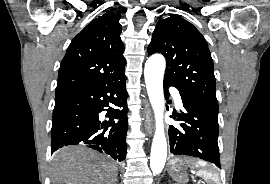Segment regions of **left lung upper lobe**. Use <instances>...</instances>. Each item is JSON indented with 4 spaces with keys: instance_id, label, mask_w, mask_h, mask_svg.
<instances>
[{
    "instance_id": "5c2ea615",
    "label": "left lung upper lobe",
    "mask_w": 270,
    "mask_h": 184,
    "mask_svg": "<svg viewBox=\"0 0 270 184\" xmlns=\"http://www.w3.org/2000/svg\"><path fill=\"white\" fill-rule=\"evenodd\" d=\"M148 53L166 58L164 78L218 112L213 60L203 35L181 16L159 20Z\"/></svg>"
}]
</instances>
